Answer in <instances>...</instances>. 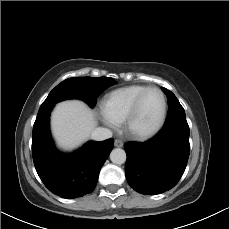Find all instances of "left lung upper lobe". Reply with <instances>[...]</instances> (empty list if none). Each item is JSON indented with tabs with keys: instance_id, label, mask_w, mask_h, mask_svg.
I'll list each match as a JSON object with an SVG mask.
<instances>
[{
	"instance_id": "1",
	"label": "left lung upper lobe",
	"mask_w": 229,
	"mask_h": 229,
	"mask_svg": "<svg viewBox=\"0 0 229 229\" xmlns=\"http://www.w3.org/2000/svg\"><path fill=\"white\" fill-rule=\"evenodd\" d=\"M168 99V114L165 124L178 120H186L185 111L173 92L166 88H162Z\"/></svg>"
}]
</instances>
